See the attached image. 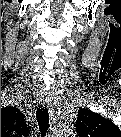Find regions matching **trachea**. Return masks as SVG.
Masks as SVG:
<instances>
[{"label":"trachea","instance_id":"3493384b","mask_svg":"<svg viewBox=\"0 0 121 137\" xmlns=\"http://www.w3.org/2000/svg\"><path fill=\"white\" fill-rule=\"evenodd\" d=\"M36 116H37L39 128L41 130H45L49 123L48 110L38 108Z\"/></svg>","mask_w":121,"mask_h":137}]
</instances>
